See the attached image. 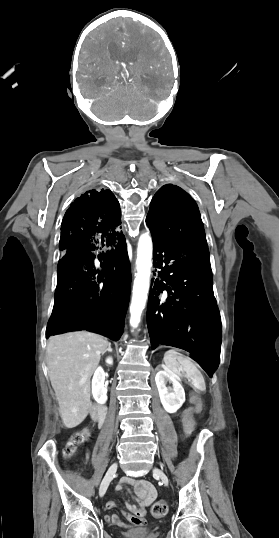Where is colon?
<instances>
[{
  "label": "colon",
  "mask_w": 279,
  "mask_h": 538,
  "mask_svg": "<svg viewBox=\"0 0 279 538\" xmlns=\"http://www.w3.org/2000/svg\"><path fill=\"white\" fill-rule=\"evenodd\" d=\"M193 401L195 404L194 411H199L201 407L200 398L198 396H195ZM184 424H185V430L187 434L192 435L195 430L192 418L190 417L186 418L184 421ZM90 435L91 433L88 428H84L74 433L70 437L65 447L64 455L66 457H71L75 453L78 447H80L82 444H84L85 442L89 440ZM167 512H168V504L165 500L156 501L151 507V513L156 518L164 517L167 514Z\"/></svg>",
  "instance_id": "1"
}]
</instances>
